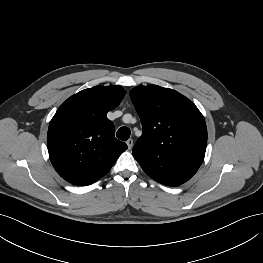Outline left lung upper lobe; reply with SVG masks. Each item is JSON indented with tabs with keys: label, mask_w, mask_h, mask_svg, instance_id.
<instances>
[{
	"label": "left lung upper lobe",
	"mask_w": 263,
	"mask_h": 263,
	"mask_svg": "<svg viewBox=\"0 0 263 263\" xmlns=\"http://www.w3.org/2000/svg\"><path fill=\"white\" fill-rule=\"evenodd\" d=\"M130 98L140 116L143 134L133 156L149 176L164 166L195 174L207 145V128L198 108L179 92L157 85L138 86Z\"/></svg>",
	"instance_id": "1"
}]
</instances>
